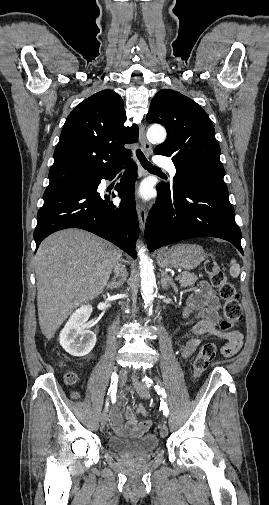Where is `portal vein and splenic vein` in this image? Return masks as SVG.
Wrapping results in <instances>:
<instances>
[{"label": "portal vein and splenic vein", "instance_id": "18ae733b", "mask_svg": "<svg viewBox=\"0 0 269 505\" xmlns=\"http://www.w3.org/2000/svg\"><path fill=\"white\" fill-rule=\"evenodd\" d=\"M180 278H181L180 275H178V276L175 277L176 280H179Z\"/></svg>", "mask_w": 269, "mask_h": 505}]
</instances>
